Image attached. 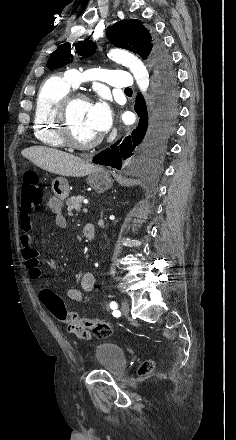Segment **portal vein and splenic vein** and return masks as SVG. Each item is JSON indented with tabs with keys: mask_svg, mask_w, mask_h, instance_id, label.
Segmentation results:
<instances>
[{
	"mask_svg": "<svg viewBox=\"0 0 236 440\" xmlns=\"http://www.w3.org/2000/svg\"><path fill=\"white\" fill-rule=\"evenodd\" d=\"M83 212H84V213H87V212H88V209H87L86 207H84V208H83Z\"/></svg>",
	"mask_w": 236,
	"mask_h": 440,
	"instance_id": "1",
	"label": "portal vein and splenic vein"
}]
</instances>
